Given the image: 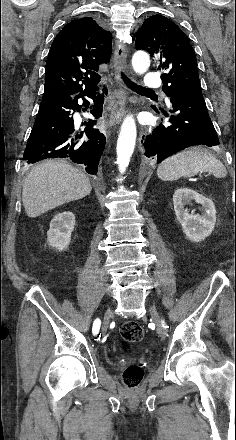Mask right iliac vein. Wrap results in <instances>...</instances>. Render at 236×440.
Listing matches in <instances>:
<instances>
[{
  "mask_svg": "<svg viewBox=\"0 0 236 440\" xmlns=\"http://www.w3.org/2000/svg\"><path fill=\"white\" fill-rule=\"evenodd\" d=\"M111 316H112L111 310L107 309V311L105 312V315H104L103 332L107 331Z\"/></svg>",
  "mask_w": 236,
  "mask_h": 440,
  "instance_id": "63e3f726",
  "label": "right iliac vein"
}]
</instances>
